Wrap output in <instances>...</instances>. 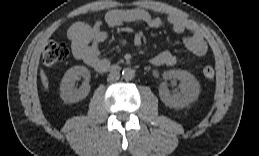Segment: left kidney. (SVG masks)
<instances>
[{"label": "left kidney", "instance_id": "left-kidney-1", "mask_svg": "<svg viewBox=\"0 0 259 156\" xmlns=\"http://www.w3.org/2000/svg\"><path fill=\"white\" fill-rule=\"evenodd\" d=\"M163 79H178L180 80L181 92L171 94L165 82L159 87V96L162 102L175 109L184 108L194 102L200 93V84L197 79L188 71L185 70H169L163 73Z\"/></svg>", "mask_w": 259, "mask_h": 156}]
</instances>
